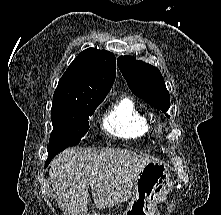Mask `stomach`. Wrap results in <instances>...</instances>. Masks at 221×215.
<instances>
[{"instance_id": "1", "label": "stomach", "mask_w": 221, "mask_h": 215, "mask_svg": "<svg viewBox=\"0 0 221 215\" xmlns=\"http://www.w3.org/2000/svg\"><path fill=\"white\" fill-rule=\"evenodd\" d=\"M170 177L163 164L147 163L133 180V198L124 215H153L156 203L167 194Z\"/></svg>"}]
</instances>
